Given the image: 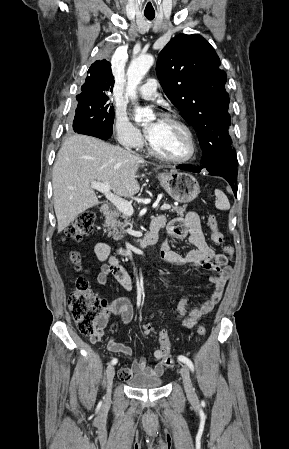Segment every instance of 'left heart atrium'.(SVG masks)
Listing matches in <instances>:
<instances>
[{"mask_svg":"<svg viewBox=\"0 0 289 449\" xmlns=\"http://www.w3.org/2000/svg\"><path fill=\"white\" fill-rule=\"evenodd\" d=\"M149 134V131L147 130V135Z\"/></svg>","mask_w":289,"mask_h":449,"instance_id":"obj_1","label":"left heart atrium"}]
</instances>
